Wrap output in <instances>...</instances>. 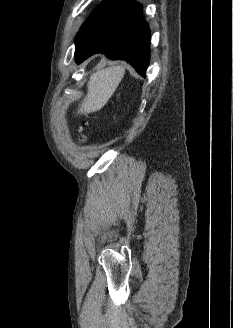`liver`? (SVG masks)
Here are the masks:
<instances>
[{"mask_svg": "<svg viewBox=\"0 0 233 328\" xmlns=\"http://www.w3.org/2000/svg\"><path fill=\"white\" fill-rule=\"evenodd\" d=\"M124 73V67L112 66L92 74L87 84V95L78 113L87 115L100 110L115 92Z\"/></svg>", "mask_w": 233, "mask_h": 328, "instance_id": "1", "label": "liver"}]
</instances>
